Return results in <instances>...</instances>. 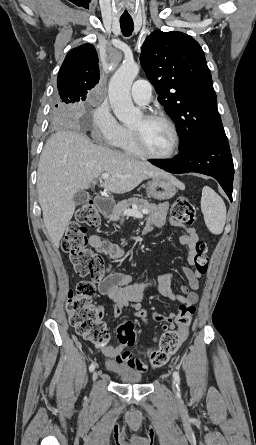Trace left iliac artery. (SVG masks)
I'll return each mask as SVG.
<instances>
[{"instance_id": "1", "label": "left iliac artery", "mask_w": 256, "mask_h": 445, "mask_svg": "<svg viewBox=\"0 0 256 445\" xmlns=\"http://www.w3.org/2000/svg\"><path fill=\"white\" fill-rule=\"evenodd\" d=\"M173 377H174V379L176 381V386L179 389V386H180V376H179V373L177 371H174Z\"/></svg>"}]
</instances>
